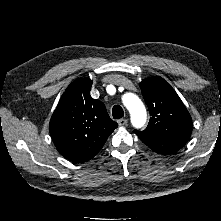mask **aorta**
<instances>
[{
  "mask_svg": "<svg viewBox=\"0 0 221 221\" xmlns=\"http://www.w3.org/2000/svg\"><path fill=\"white\" fill-rule=\"evenodd\" d=\"M123 103L129 110L132 125L142 128L146 123L147 113L141 100L136 95L127 93L123 96Z\"/></svg>",
  "mask_w": 221,
  "mask_h": 221,
  "instance_id": "aorta-1",
  "label": "aorta"
}]
</instances>
